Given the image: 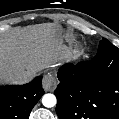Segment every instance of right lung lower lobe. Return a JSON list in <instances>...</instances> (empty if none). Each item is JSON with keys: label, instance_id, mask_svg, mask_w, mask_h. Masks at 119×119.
<instances>
[{"label": "right lung lower lobe", "instance_id": "obj_1", "mask_svg": "<svg viewBox=\"0 0 119 119\" xmlns=\"http://www.w3.org/2000/svg\"><path fill=\"white\" fill-rule=\"evenodd\" d=\"M42 77L24 85L0 86V119H28L44 94Z\"/></svg>", "mask_w": 119, "mask_h": 119}]
</instances>
